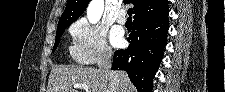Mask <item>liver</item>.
<instances>
[{"label":"liver","instance_id":"liver-1","mask_svg":"<svg viewBox=\"0 0 225 92\" xmlns=\"http://www.w3.org/2000/svg\"><path fill=\"white\" fill-rule=\"evenodd\" d=\"M117 92H134L128 75L124 71H116ZM74 84H86L92 92H112L110 77L100 69L91 67H56L51 70L47 92H79Z\"/></svg>","mask_w":225,"mask_h":92}]
</instances>
